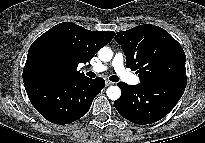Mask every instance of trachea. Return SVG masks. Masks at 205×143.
I'll list each match as a JSON object with an SVG mask.
<instances>
[{
  "label": "trachea",
  "mask_w": 205,
  "mask_h": 143,
  "mask_svg": "<svg viewBox=\"0 0 205 143\" xmlns=\"http://www.w3.org/2000/svg\"><path fill=\"white\" fill-rule=\"evenodd\" d=\"M87 75H88L89 77H91V78H94V77L96 76L95 73H93V72H88ZM109 79H110L112 82H117V81H119V78H118L116 75L110 76Z\"/></svg>",
  "instance_id": "3493384b"
}]
</instances>
